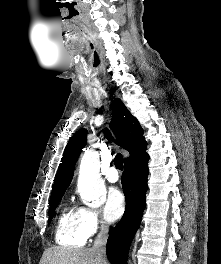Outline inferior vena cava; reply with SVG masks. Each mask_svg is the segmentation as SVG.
<instances>
[{
  "instance_id": "obj_1",
  "label": "inferior vena cava",
  "mask_w": 221,
  "mask_h": 264,
  "mask_svg": "<svg viewBox=\"0 0 221 264\" xmlns=\"http://www.w3.org/2000/svg\"><path fill=\"white\" fill-rule=\"evenodd\" d=\"M108 238V231L106 228H101V231L98 233L94 245L92 247L93 252L100 258L104 259L105 257V246Z\"/></svg>"
}]
</instances>
